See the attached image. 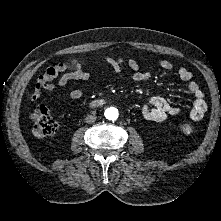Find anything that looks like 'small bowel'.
Returning <instances> with one entry per match:
<instances>
[{
    "mask_svg": "<svg viewBox=\"0 0 221 221\" xmlns=\"http://www.w3.org/2000/svg\"><path fill=\"white\" fill-rule=\"evenodd\" d=\"M108 63L111 65L115 72L120 70L119 66L114 63V59L108 57ZM128 66L132 70V79L136 82H144L151 78V74L146 71H141L138 62L133 59H128ZM159 66L165 71H171L173 69V63L167 59H161ZM60 72H65L58 80V85L64 87L71 81L90 80V73L86 71L80 63L77 64L76 68L72 71H68V67L64 63L57 65ZM178 77L187 84L189 92L193 96L192 108L190 110V118L194 121H199L203 118L207 104L205 101V94L200 88L197 82L193 80V76L190 70L185 67H180L177 71ZM40 78L37 80L36 89L31 95L32 101H36L40 98L43 90L38 88ZM72 100H81L85 96V92L81 88L73 89L70 94ZM144 117L151 121L161 122L170 117H175L181 113V110L169 103L166 99L160 96H154L150 98L142 108Z\"/></svg>",
    "mask_w": 221,
    "mask_h": 221,
    "instance_id": "obj_1",
    "label": "small bowel"
}]
</instances>
